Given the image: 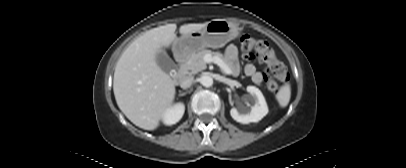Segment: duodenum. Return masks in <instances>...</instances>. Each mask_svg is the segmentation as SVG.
<instances>
[{"label": "duodenum", "mask_w": 406, "mask_h": 168, "mask_svg": "<svg viewBox=\"0 0 406 168\" xmlns=\"http://www.w3.org/2000/svg\"><path fill=\"white\" fill-rule=\"evenodd\" d=\"M185 61H186L185 55L179 54L176 56L177 72L173 76V80L175 82H178L181 79V77L185 75L186 72L184 69Z\"/></svg>", "instance_id": "1"}]
</instances>
